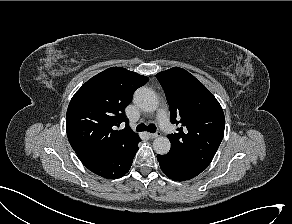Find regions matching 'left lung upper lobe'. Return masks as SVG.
Here are the masks:
<instances>
[{
    "label": "left lung upper lobe",
    "instance_id": "obj_1",
    "mask_svg": "<svg viewBox=\"0 0 292 224\" xmlns=\"http://www.w3.org/2000/svg\"><path fill=\"white\" fill-rule=\"evenodd\" d=\"M164 89L170 121L180 125L169 134L173 155L196 170L211 163L224 135L225 117L211 92L188 71L174 67L156 75Z\"/></svg>",
    "mask_w": 292,
    "mask_h": 224
}]
</instances>
